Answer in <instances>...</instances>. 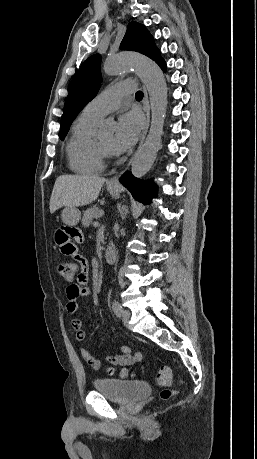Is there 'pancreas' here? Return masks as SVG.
Listing matches in <instances>:
<instances>
[{
  "label": "pancreas",
  "instance_id": "1",
  "mask_svg": "<svg viewBox=\"0 0 257 459\" xmlns=\"http://www.w3.org/2000/svg\"><path fill=\"white\" fill-rule=\"evenodd\" d=\"M101 210L95 205L88 208L83 215L82 225L87 227L91 224L93 218H97Z\"/></svg>",
  "mask_w": 257,
  "mask_h": 459
}]
</instances>
